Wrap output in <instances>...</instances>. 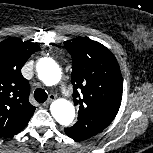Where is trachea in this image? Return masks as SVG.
<instances>
[{"label": "trachea", "instance_id": "trachea-1", "mask_svg": "<svg viewBox=\"0 0 153 153\" xmlns=\"http://www.w3.org/2000/svg\"><path fill=\"white\" fill-rule=\"evenodd\" d=\"M34 98L37 102L39 103H43L47 100L48 98V95L47 93L45 92V90L41 89V88H37L35 91H34Z\"/></svg>", "mask_w": 153, "mask_h": 153}]
</instances>
